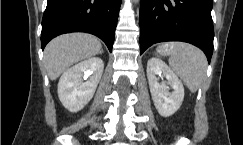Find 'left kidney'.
Returning <instances> with one entry per match:
<instances>
[{"instance_id": "obj_1", "label": "left kidney", "mask_w": 243, "mask_h": 145, "mask_svg": "<svg viewBox=\"0 0 243 145\" xmlns=\"http://www.w3.org/2000/svg\"><path fill=\"white\" fill-rule=\"evenodd\" d=\"M163 74L167 82L159 83L156 75ZM147 78L154 105L163 117L173 115L181 106L184 87L175 73L160 59L151 58L147 62ZM167 84L173 89L169 92Z\"/></svg>"}]
</instances>
